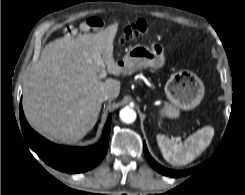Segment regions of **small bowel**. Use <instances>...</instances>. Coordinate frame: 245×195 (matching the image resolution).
<instances>
[{
    "instance_id": "small-bowel-1",
    "label": "small bowel",
    "mask_w": 245,
    "mask_h": 195,
    "mask_svg": "<svg viewBox=\"0 0 245 195\" xmlns=\"http://www.w3.org/2000/svg\"><path fill=\"white\" fill-rule=\"evenodd\" d=\"M104 27V21L96 16H91L86 18L80 23V25L74 26L69 25L65 28V35L68 37H73L78 34L79 31L87 32L91 30H100Z\"/></svg>"
}]
</instances>
